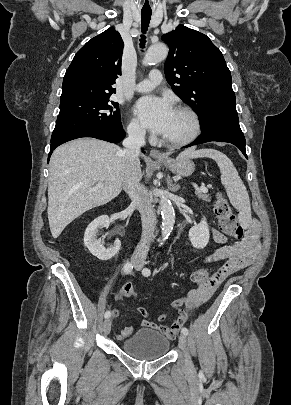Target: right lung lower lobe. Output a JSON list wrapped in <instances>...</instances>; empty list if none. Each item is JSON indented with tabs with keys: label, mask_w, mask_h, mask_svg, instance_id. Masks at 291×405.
<instances>
[{
	"label": "right lung lower lobe",
	"mask_w": 291,
	"mask_h": 405,
	"mask_svg": "<svg viewBox=\"0 0 291 405\" xmlns=\"http://www.w3.org/2000/svg\"><path fill=\"white\" fill-rule=\"evenodd\" d=\"M81 137H93L101 140H105L111 143H118L125 137V132L123 128H118L115 130H86L80 131L76 133H72L70 135L61 137L53 142L50 145V153L49 156L52 154L53 150L58 147L59 145ZM49 161V158H48Z\"/></svg>",
	"instance_id": "1"
}]
</instances>
